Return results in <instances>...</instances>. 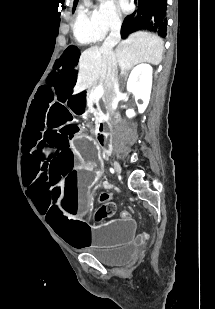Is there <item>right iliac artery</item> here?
<instances>
[{"label": "right iliac artery", "instance_id": "1", "mask_svg": "<svg viewBox=\"0 0 215 309\" xmlns=\"http://www.w3.org/2000/svg\"><path fill=\"white\" fill-rule=\"evenodd\" d=\"M110 171H112L114 173V170L112 168H110Z\"/></svg>", "mask_w": 215, "mask_h": 309}]
</instances>
